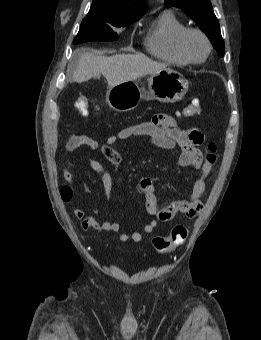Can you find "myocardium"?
<instances>
[{"mask_svg": "<svg viewBox=\"0 0 261 340\" xmlns=\"http://www.w3.org/2000/svg\"><path fill=\"white\" fill-rule=\"evenodd\" d=\"M190 34H198L199 36H201L204 39V41L207 45V52H206L205 56L201 59L193 58L188 53V51L186 49V39ZM177 46H178L180 53L183 55V57H185L191 63H201V62L205 61L209 57V55L212 51V44H211L209 37L207 36V34L203 30L196 28V27H186L180 33V35L178 37Z\"/></svg>", "mask_w": 261, "mask_h": 340, "instance_id": "obj_1", "label": "myocardium"}]
</instances>
